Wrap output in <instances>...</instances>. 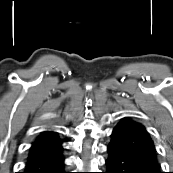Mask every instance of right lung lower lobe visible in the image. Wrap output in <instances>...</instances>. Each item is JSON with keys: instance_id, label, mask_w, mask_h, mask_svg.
<instances>
[{"instance_id": "98d812e1", "label": "right lung lower lobe", "mask_w": 173, "mask_h": 173, "mask_svg": "<svg viewBox=\"0 0 173 173\" xmlns=\"http://www.w3.org/2000/svg\"><path fill=\"white\" fill-rule=\"evenodd\" d=\"M62 151L61 144L30 150L23 173H67Z\"/></svg>"}]
</instances>
